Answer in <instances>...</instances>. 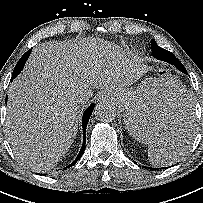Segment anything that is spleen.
<instances>
[{"mask_svg": "<svg viewBox=\"0 0 203 203\" xmlns=\"http://www.w3.org/2000/svg\"><path fill=\"white\" fill-rule=\"evenodd\" d=\"M191 100V94L187 88L174 79L153 82L140 99L134 114L127 123L128 130L139 142L148 145V158L151 164L171 165L188 152L191 138H185L183 143L169 139L158 144L156 137L150 136V132L157 127L160 117L168 111H173L177 116L185 118L192 131L193 104ZM154 114L158 115V123L155 126L150 119ZM135 130L139 131L135 132ZM145 136L148 137V140L144 139Z\"/></svg>", "mask_w": 203, "mask_h": 203, "instance_id": "1", "label": "spleen"}]
</instances>
